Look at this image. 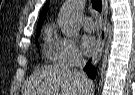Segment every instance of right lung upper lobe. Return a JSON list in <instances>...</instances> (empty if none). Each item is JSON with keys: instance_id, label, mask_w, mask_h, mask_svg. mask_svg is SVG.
Wrapping results in <instances>:
<instances>
[{"instance_id": "1", "label": "right lung upper lobe", "mask_w": 135, "mask_h": 95, "mask_svg": "<svg viewBox=\"0 0 135 95\" xmlns=\"http://www.w3.org/2000/svg\"><path fill=\"white\" fill-rule=\"evenodd\" d=\"M47 10H48V4H46L44 6V8H43V10H42V12L40 14V17H39V20H38V24H37V32L36 33L40 32V29L42 27V23H43V21L45 19V16L47 14Z\"/></svg>"}]
</instances>
